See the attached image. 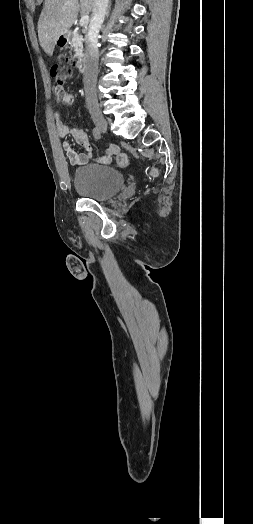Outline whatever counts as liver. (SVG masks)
Segmentation results:
<instances>
[{"label":"liver","instance_id":"obj_1","mask_svg":"<svg viewBox=\"0 0 253 524\" xmlns=\"http://www.w3.org/2000/svg\"><path fill=\"white\" fill-rule=\"evenodd\" d=\"M94 0H45L38 20V37L44 52L51 56L57 39L68 32L78 12L88 15Z\"/></svg>","mask_w":253,"mask_h":524}]
</instances>
